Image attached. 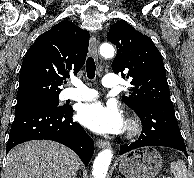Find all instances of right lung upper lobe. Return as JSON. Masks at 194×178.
Here are the masks:
<instances>
[{
  "instance_id": "obj_1",
  "label": "right lung upper lobe",
  "mask_w": 194,
  "mask_h": 178,
  "mask_svg": "<svg viewBox=\"0 0 194 178\" xmlns=\"http://www.w3.org/2000/svg\"><path fill=\"white\" fill-rule=\"evenodd\" d=\"M89 32L62 21L28 49L20 71L17 103L59 96L58 87L85 63Z\"/></svg>"
}]
</instances>
